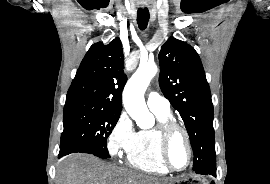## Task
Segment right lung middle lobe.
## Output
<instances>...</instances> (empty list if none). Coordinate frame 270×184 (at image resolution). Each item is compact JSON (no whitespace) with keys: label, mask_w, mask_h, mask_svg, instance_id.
I'll use <instances>...</instances> for the list:
<instances>
[{"label":"right lung middle lobe","mask_w":270,"mask_h":184,"mask_svg":"<svg viewBox=\"0 0 270 184\" xmlns=\"http://www.w3.org/2000/svg\"><path fill=\"white\" fill-rule=\"evenodd\" d=\"M120 114L86 101H66L59 157L83 152L109 158L106 142Z\"/></svg>","instance_id":"right-lung-middle-lobe-1"}]
</instances>
